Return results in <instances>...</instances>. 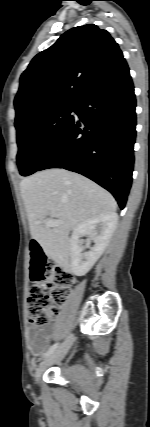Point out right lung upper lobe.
<instances>
[{"instance_id":"right-lung-upper-lobe-1","label":"right lung upper lobe","mask_w":150,"mask_h":427,"mask_svg":"<svg viewBox=\"0 0 150 427\" xmlns=\"http://www.w3.org/2000/svg\"><path fill=\"white\" fill-rule=\"evenodd\" d=\"M128 67L118 44L94 24L65 32L36 55L20 78L16 120L49 106L78 105L91 91Z\"/></svg>"}]
</instances>
